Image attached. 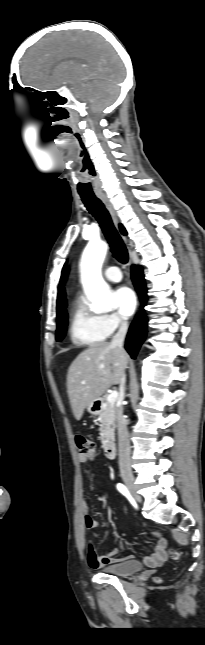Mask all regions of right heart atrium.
Instances as JSON below:
<instances>
[{
  "instance_id": "obj_1",
  "label": "right heart atrium",
  "mask_w": 205,
  "mask_h": 645,
  "mask_svg": "<svg viewBox=\"0 0 205 645\" xmlns=\"http://www.w3.org/2000/svg\"><path fill=\"white\" fill-rule=\"evenodd\" d=\"M102 323L108 333V335L116 332L117 330L124 328L126 323L115 313H110L102 316Z\"/></svg>"
}]
</instances>
